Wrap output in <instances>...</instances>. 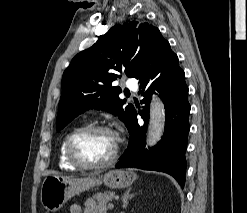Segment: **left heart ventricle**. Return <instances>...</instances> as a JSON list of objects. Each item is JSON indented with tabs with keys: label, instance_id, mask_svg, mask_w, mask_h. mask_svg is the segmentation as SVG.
Wrapping results in <instances>:
<instances>
[{
	"label": "left heart ventricle",
	"instance_id": "obj_1",
	"mask_svg": "<svg viewBox=\"0 0 247 213\" xmlns=\"http://www.w3.org/2000/svg\"><path fill=\"white\" fill-rule=\"evenodd\" d=\"M116 142L113 133L104 131L90 133L78 140L77 152L87 162H104L112 156Z\"/></svg>",
	"mask_w": 247,
	"mask_h": 213
}]
</instances>
